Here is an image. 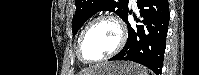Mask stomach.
Wrapping results in <instances>:
<instances>
[{
  "instance_id": "stomach-1",
  "label": "stomach",
  "mask_w": 199,
  "mask_h": 75,
  "mask_svg": "<svg viewBox=\"0 0 199 75\" xmlns=\"http://www.w3.org/2000/svg\"><path fill=\"white\" fill-rule=\"evenodd\" d=\"M145 70L132 62H109L95 68L90 75H144Z\"/></svg>"
}]
</instances>
